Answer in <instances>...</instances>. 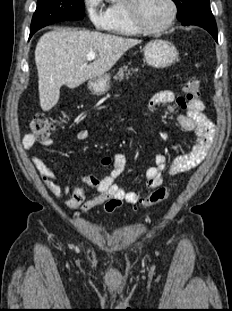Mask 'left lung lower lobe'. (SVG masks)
I'll return each instance as SVG.
<instances>
[{"mask_svg": "<svg viewBox=\"0 0 232 311\" xmlns=\"http://www.w3.org/2000/svg\"><path fill=\"white\" fill-rule=\"evenodd\" d=\"M182 25H197L206 29L213 38L218 42L217 39V27L213 14L210 9V5H204L196 11L184 16L179 20Z\"/></svg>", "mask_w": 232, "mask_h": 311, "instance_id": "left-lung-lower-lobe-1", "label": "left lung lower lobe"}]
</instances>
